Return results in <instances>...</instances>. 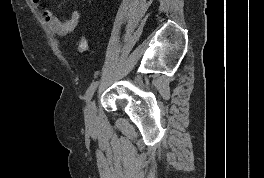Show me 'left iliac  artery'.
Instances as JSON below:
<instances>
[{"label": "left iliac artery", "instance_id": "1", "mask_svg": "<svg viewBox=\"0 0 264 178\" xmlns=\"http://www.w3.org/2000/svg\"><path fill=\"white\" fill-rule=\"evenodd\" d=\"M97 86H98V81H94L91 83V85L89 86V88L86 91V95H85L86 102H88L91 99V97L93 96Z\"/></svg>", "mask_w": 264, "mask_h": 178}]
</instances>
